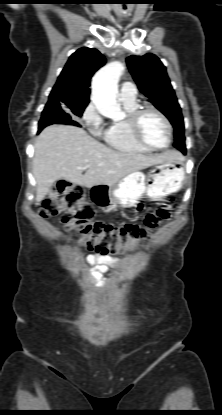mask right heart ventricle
I'll list each match as a JSON object with an SVG mask.
<instances>
[{"label":"right heart ventricle","mask_w":222,"mask_h":415,"mask_svg":"<svg viewBox=\"0 0 222 415\" xmlns=\"http://www.w3.org/2000/svg\"><path fill=\"white\" fill-rule=\"evenodd\" d=\"M121 101L127 115L137 108L135 100ZM102 138L110 147L122 152L146 154L152 151L135 140L131 133L127 117L123 120L113 121L103 132Z\"/></svg>","instance_id":"e07e8e85"}]
</instances>
